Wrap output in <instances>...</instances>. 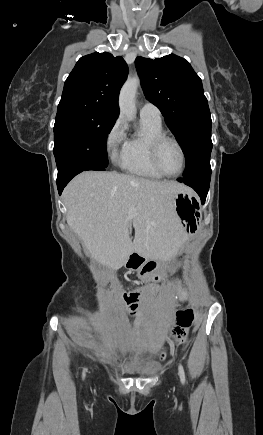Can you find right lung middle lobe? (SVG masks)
<instances>
[{
	"mask_svg": "<svg viewBox=\"0 0 263 435\" xmlns=\"http://www.w3.org/2000/svg\"><path fill=\"white\" fill-rule=\"evenodd\" d=\"M116 119L115 116L92 107H58L53 149L58 171L70 163L106 168L107 136Z\"/></svg>",
	"mask_w": 263,
	"mask_h": 435,
	"instance_id": "obj_1",
	"label": "right lung middle lobe"
}]
</instances>
